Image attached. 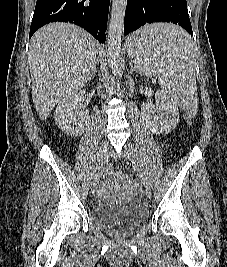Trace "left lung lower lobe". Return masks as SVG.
<instances>
[{
    "instance_id": "1",
    "label": "left lung lower lobe",
    "mask_w": 227,
    "mask_h": 267,
    "mask_svg": "<svg viewBox=\"0 0 227 267\" xmlns=\"http://www.w3.org/2000/svg\"><path fill=\"white\" fill-rule=\"evenodd\" d=\"M154 22L174 23L193 36L186 0H127L124 19V34L137 30L141 26ZM141 43V40H135ZM177 40H165L163 46H178Z\"/></svg>"
}]
</instances>
